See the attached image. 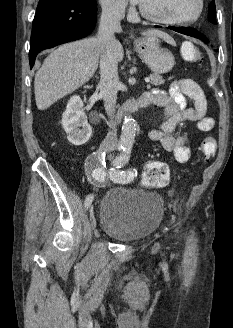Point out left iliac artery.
<instances>
[{
	"mask_svg": "<svg viewBox=\"0 0 233 328\" xmlns=\"http://www.w3.org/2000/svg\"><path fill=\"white\" fill-rule=\"evenodd\" d=\"M130 156V147H126L113 161V167L109 169V178L114 183H129L134 177L133 171H123L121 168L128 162Z\"/></svg>",
	"mask_w": 233,
	"mask_h": 328,
	"instance_id": "left-iliac-artery-1",
	"label": "left iliac artery"
}]
</instances>
